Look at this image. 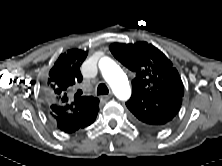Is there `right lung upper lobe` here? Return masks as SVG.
Here are the masks:
<instances>
[{
	"label": "right lung upper lobe",
	"instance_id": "obj_1",
	"mask_svg": "<svg viewBox=\"0 0 222 166\" xmlns=\"http://www.w3.org/2000/svg\"><path fill=\"white\" fill-rule=\"evenodd\" d=\"M88 52L80 49H71L62 53L45 81L44 95L50 109L55 106H66L67 110L82 122H89L90 118L98 111L99 100L92 96H72L70 92L82 81L80 66L87 57ZM85 120V121H84Z\"/></svg>",
	"mask_w": 222,
	"mask_h": 166
}]
</instances>
